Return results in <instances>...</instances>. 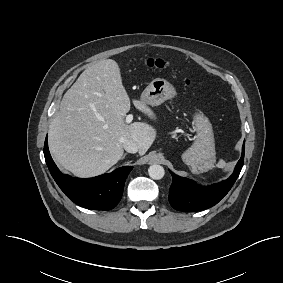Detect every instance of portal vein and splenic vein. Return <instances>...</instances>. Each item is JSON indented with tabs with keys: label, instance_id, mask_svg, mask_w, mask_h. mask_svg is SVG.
<instances>
[{
	"label": "portal vein and splenic vein",
	"instance_id": "obj_1",
	"mask_svg": "<svg viewBox=\"0 0 283 283\" xmlns=\"http://www.w3.org/2000/svg\"><path fill=\"white\" fill-rule=\"evenodd\" d=\"M132 120H133V115L129 114V115L126 116L125 122L127 124H130L132 122Z\"/></svg>",
	"mask_w": 283,
	"mask_h": 283
}]
</instances>
